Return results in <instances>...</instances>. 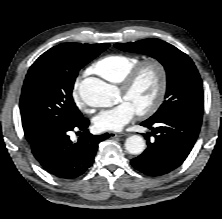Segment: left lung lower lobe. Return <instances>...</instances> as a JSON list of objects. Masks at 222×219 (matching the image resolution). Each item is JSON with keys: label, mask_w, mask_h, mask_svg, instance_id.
<instances>
[{"label": "left lung lower lobe", "mask_w": 222, "mask_h": 219, "mask_svg": "<svg viewBox=\"0 0 222 219\" xmlns=\"http://www.w3.org/2000/svg\"><path fill=\"white\" fill-rule=\"evenodd\" d=\"M152 130L144 134L147 149L131 160L132 166L138 171L159 176L179 167L187 158L198 137L201 120L182 114H170L156 120H146L141 123ZM153 135L155 141L150 142Z\"/></svg>", "instance_id": "left-lung-lower-lobe-1"}]
</instances>
